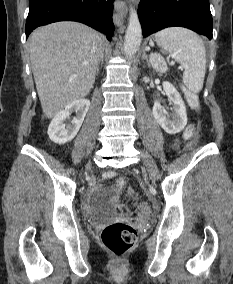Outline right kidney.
Listing matches in <instances>:
<instances>
[{
  "mask_svg": "<svg viewBox=\"0 0 233 284\" xmlns=\"http://www.w3.org/2000/svg\"><path fill=\"white\" fill-rule=\"evenodd\" d=\"M90 107L88 99H79L71 102L60 111L51 121L48 127L49 138L57 144H65L74 139L78 133L86 113ZM75 113V117L67 123L70 115Z\"/></svg>",
  "mask_w": 233,
  "mask_h": 284,
  "instance_id": "ca27d5eb",
  "label": "right kidney"
}]
</instances>
